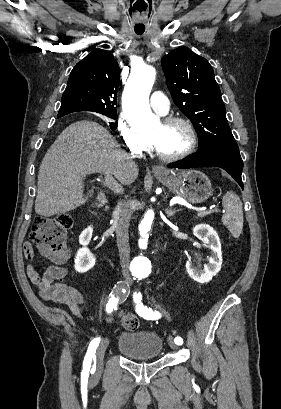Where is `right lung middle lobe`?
<instances>
[{"label": "right lung middle lobe", "instance_id": "1", "mask_svg": "<svg viewBox=\"0 0 281 409\" xmlns=\"http://www.w3.org/2000/svg\"><path fill=\"white\" fill-rule=\"evenodd\" d=\"M101 114H103V115H105V116H107V117H109V118H112V119H117V113L116 112H102Z\"/></svg>", "mask_w": 281, "mask_h": 409}]
</instances>
